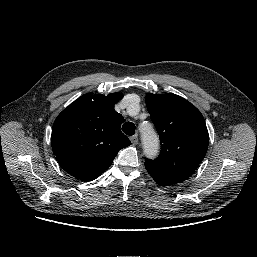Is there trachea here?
Wrapping results in <instances>:
<instances>
[{
  "mask_svg": "<svg viewBox=\"0 0 257 257\" xmlns=\"http://www.w3.org/2000/svg\"><path fill=\"white\" fill-rule=\"evenodd\" d=\"M122 131L129 136L134 135L135 133V125L132 122H126L123 126H122Z\"/></svg>",
  "mask_w": 257,
  "mask_h": 257,
  "instance_id": "trachea-1",
  "label": "trachea"
}]
</instances>
